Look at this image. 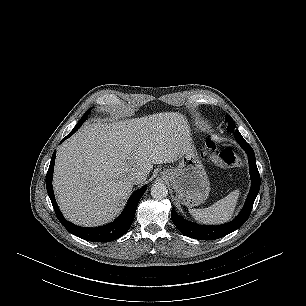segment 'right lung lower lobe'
<instances>
[{"label":"right lung lower lobe","mask_w":306,"mask_h":306,"mask_svg":"<svg viewBox=\"0 0 306 306\" xmlns=\"http://www.w3.org/2000/svg\"><path fill=\"white\" fill-rule=\"evenodd\" d=\"M75 132L71 131L61 142H63L65 139L73 135ZM55 157H56V151H54L52 155L50 166H49V169L46 175V188H47V192L50 197V200L52 202L55 214L57 218L59 219V221L61 222V224L65 226V228L73 235L79 238H82L84 240H87V241H92V242H109V241L118 239L122 235H124L129 230L133 222L137 205L142 195L145 193L147 186L146 185L143 186L142 188L136 190L131 195L121 215L112 223L101 226V227H96V228L80 227V226H77L65 220L54 198V193H53L51 182H52V176H53V170H54L53 167L55 163Z\"/></svg>","instance_id":"98d812e1"}]
</instances>
